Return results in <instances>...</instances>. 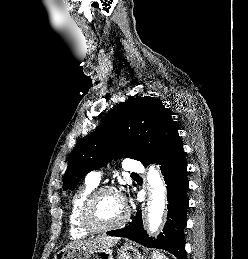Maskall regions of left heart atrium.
Returning <instances> with one entry per match:
<instances>
[{
    "mask_svg": "<svg viewBox=\"0 0 248 259\" xmlns=\"http://www.w3.org/2000/svg\"><path fill=\"white\" fill-rule=\"evenodd\" d=\"M120 197H121L122 201L125 203V201H124V197H123V196H120Z\"/></svg>",
    "mask_w": 248,
    "mask_h": 259,
    "instance_id": "39dd6f15",
    "label": "left heart atrium"
}]
</instances>
